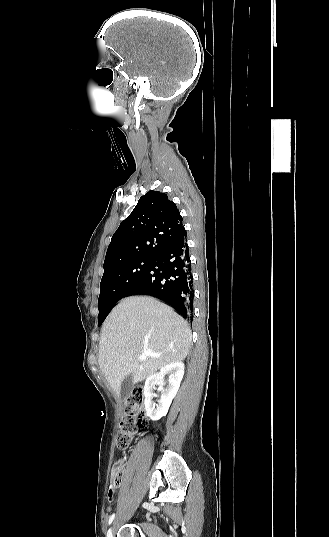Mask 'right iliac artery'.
<instances>
[{
	"label": "right iliac artery",
	"mask_w": 329,
	"mask_h": 537,
	"mask_svg": "<svg viewBox=\"0 0 329 537\" xmlns=\"http://www.w3.org/2000/svg\"><path fill=\"white\" fill-rule=\"evenodd\" d=\"M114 517H115V514H112V515L109 517L108 524H111V523H112V521L114 520Z\"/></svg>",
	"instance_id": "right-iliac-artery-1"
}]
</instances>
